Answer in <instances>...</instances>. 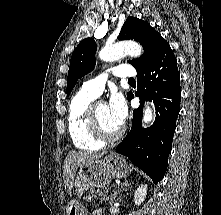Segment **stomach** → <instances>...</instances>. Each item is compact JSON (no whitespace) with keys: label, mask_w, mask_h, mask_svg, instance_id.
<instances>
[{"label":"stomach","mask_w":221,"mask_h":215,"mask_svg":"<svg viewBox=\"0 0 221 215\" xmlns=\"http://www.w3.org/2000/svg\"><path fill=\"white\" fill-rule=\"evenodd\" d=\"M129 166L126 160L114 153L103 159H95L82 164L78 168L73 181L78 195L90 188L105 187L112 178H126ZM67 215H87L86 208L77 200H71L66 208Z\"/></svg>","instance_id":"1"}]
</instances>
